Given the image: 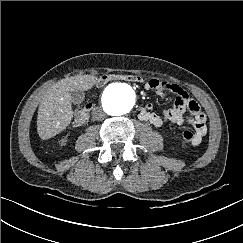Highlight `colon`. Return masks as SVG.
<instances>
[{"label": "colon", "mask_w": 243, "mask_h": 243, "mask_svg": "<svg viewBox=\"0 0 243 243\" xmlns=\"http://www.w3.org/2000/svg\"><path fill=\"white\" fill-rule=\"evenodd\" d=\"M113 80H126L131 82H141L142 78L138 75L133 74H106L99 78L98 85L103 86ZM92 109L91 104H87L81 108H79L74 115V123L77 125L84 124L88 118L90 111ZM195 138V135L191 131H185L183 133V139L187 142H192Z\"/></svg>", "instance_id": "obj_1"}]
</instances>
